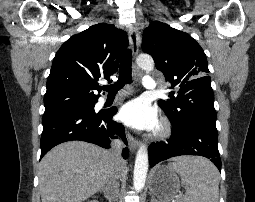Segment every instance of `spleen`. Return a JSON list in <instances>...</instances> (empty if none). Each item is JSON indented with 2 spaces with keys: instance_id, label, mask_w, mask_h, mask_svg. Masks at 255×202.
Instances as JSON below:
<instances>
[{
  "instance_id": "obj_1",
  "label": "spleen",
  "mask_w": 255,
  "mask_h": 202,
  "mask_svg": "<svg viewBox=\"0 0 255 202\" xmlns=\"http://www.w3.org/2000/svg\"><path fill=\"white\" fill-rule=\"evenodd\" d=\"M168 168L180 175L185 188L179 202H218L219 172L209 160L180 157L169 163Z\"/></svg>"
}]
</instances>
